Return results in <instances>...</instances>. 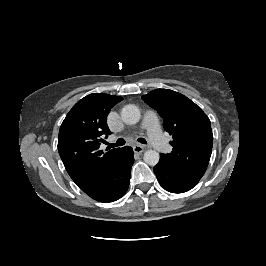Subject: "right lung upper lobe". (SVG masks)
I'll list each match as a JSON object with an SVG mask.
<instances>
[{"label": "right lung upper lobe", "mask_w": 266, "mask_h": 266, "mask_svg": "<svg viewBox=\"0 0 266 266\" xmlns=\"http://www.w3.org/2000/svg\"><path fill=\"white\" fill-rule=\"evenodd\" d=\"M123 98L93 93L79 100L59 130L58 152L72 180L92 197L105 186L121 149L99 150L111 134L106 123L110 109Z\"/></svg>", "instance_id": "obj_1"}]
</instances>
